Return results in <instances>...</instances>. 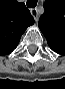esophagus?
I'll return each mask as SVG.
<instances>
[{
  "mask_svg": "<svg viewBox=\"0 0 65 89\" xmlns=\"http://www.w3.org/2000/svg\"><path fill=\"white\" fill-rule=\"evenodd\" d=\"M31 14L34 17V19L37 21L38 20V10H37V8H32Z\"/></svg>",
  "mask_w": 65,
  "mask_h": 89,
  "instance_id": "obj_1",
  "label": "esophagus"
}]
</instances>
